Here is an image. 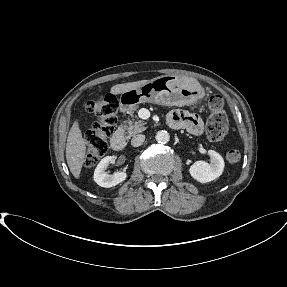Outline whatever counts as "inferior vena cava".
<instances>
[{
	"label": "inferior vena cava",
	"mask_w": 287,
	"mask_h": 287,
	"mask_svg": "<svg viewBox=\"0 0 287 287\" xmlns=\"http://www.w3.org/2000/svg\"><path fill=\"white\" fill-rule=\"evenodd\" d=\"M144 140H145V135L138 134L132 138L131 145L133 147H139L143 144Z\"/></svg>",
	"instance_id": "inferior-vena-cava-1"
}]
</instances>
